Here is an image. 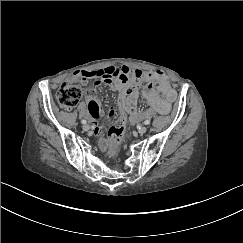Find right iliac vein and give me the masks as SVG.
Listing matches in <instances>:
<instances>
[{
    "label": "right iliac vein",
    "instance_id": "obj_1",
    "mask_svg": "<svg viewBox=\"0 0 243 243\" xmlns=\"http://www.w3.org/2000/svg\"><path fill=\"white\" fill-rule=\"evenodd\" d=\"M90 129V126L88 124L83 125V130L88 131Z\"/></svg>",
    "mask_w": 243,
    "mask_h": 243
}]
</instances>
